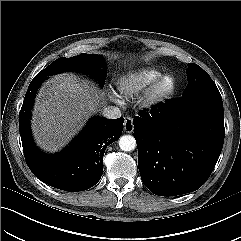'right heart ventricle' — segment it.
I'll return each mask as SVG.
<instances>
[{"label": "right heart ventricle", "mask_w": 241, "mask_h": 241, "mask_svg": "<svg viewBox=\"0 0 241 241\" xmlns=\"http://www.w3.org/2000/svg\"><path fill=\"white\" fill-rule=\"evenodd\" d=\"M161 75V72L155 68H141L120 77L117 81V88L123 96L134 97Z\"/></svg>", "instance_id": "obj_1"}]
</instances>
